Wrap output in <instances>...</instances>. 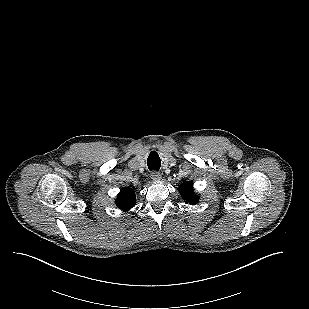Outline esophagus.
<instances>
[{
  "label": "esophagus",
  "mask_w": 309,
  "mask_h": 309,
  "mask_svg": "<svg viewBox=\"0 0 309 309\" xmlns=\"http://www.w3.org/2000/svg\"><path fill=\"white\" fill-rule=\"evenodd\" d=\"M151 178H152V180H154V181H158V180L161 179V174H160L159 172H157V171H153V172L151 173Z\"/></svg>",
  "instance_id": "esophagus-1"
}]
</instances>
